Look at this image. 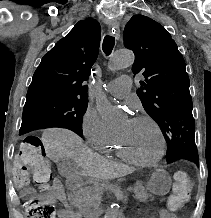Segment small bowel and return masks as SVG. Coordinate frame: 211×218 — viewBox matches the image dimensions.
Returning a JSON list of instances; mask_svg holds the SVG:
<instances>
[{"label": "small bowel", "mask_w": 211, "mask_h": 218, "mask_svg": "<svg viewBox=\"0 0 211 218\" xmlns=\"http://www.w3.org/2000/svg\"><path fill=\"white\" fill-rule=\"evenodd\" d=\"M33 193L34 192L31 189H27L23 192L24 195L28 196L33 195ZM39 199L50 204H54L56 202L62 203L63 207L58 210L59 218H79L78 213L73 211L68 206L64 186L62 182L57 178L52 181L47 191L39 195ZM157 218H176V215L169 209H162L158 212Z\"/></svg>", "instance_id": "small-bowel-1"}]
</instances>
